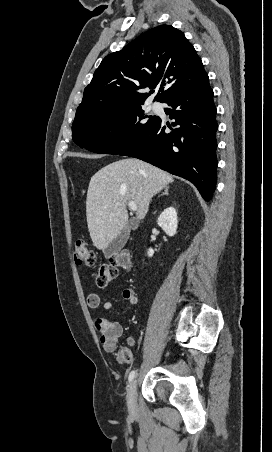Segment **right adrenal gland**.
<instances>
[{
  "mask_svg": "<svg viewBox=\"0 0 272 452\" xmlns=\"http://www.w3.org/2000/svg\"><path fill=\"white\" fill-rule=\"evenodd\" d=\"M168 189H169V187L166 186L164 192H163L160 196H162V195H168Z\"/></svg>",
  "mask_w": 272,
  "mask_h": 452,
  "instance_id": "obj_1",
  "label": "right adrenal gland"
}]
</instances>
